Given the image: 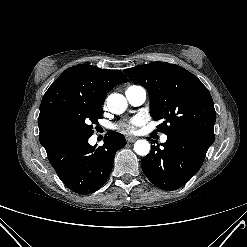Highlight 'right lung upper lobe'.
Returning <instances> with one entry per match:
<instances>
[{
	"mask_svg": "<svg viewBox=\"0 0 247 247\" xmlns=\"http://www.w3.org/2000/svg\"><path fill=\"white\" fill-rule=\"evenodd\" d=\"M127 81L120 70H104L87 64L66 69L52 83L41 101L38 124L42 146L50 148L43 144V131L53 114L82 106L101 107L107 93Z\"/></svg>",
	"mask_w": 247,
	"mask_h": 247,
	"instance_id": "obj_1",
	"label": "right lung upper lobe"
}]
</instances>
